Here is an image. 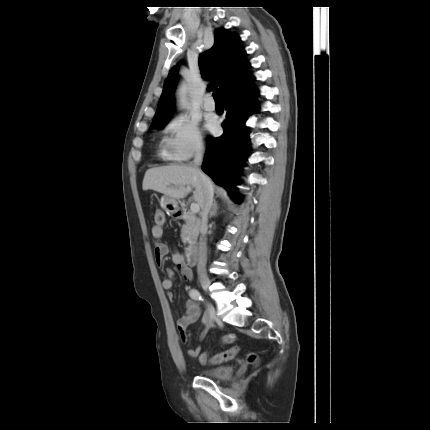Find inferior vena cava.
<instances>
[{"label": "inferior vena cava", "mask_w": 430, "mask_h": 430, "mask_svg": "<svg viewBox=\"0 0 430 430\" xmlns=\"http://www.w3.org/2000/svg\"><path fill=\"white\" fill-rule=\"evenodd\" d=\"M203 149H200L195 154L194 165L198 169V166L202 163ZM200 177L203 185V196L201 200L202 218L200 225V232L202 234L207 231L208 213L213 205L214 188L209 177L200 172ZM206 244L200 240L199 244V257H198V273L201 276H205V265H206Z\"/></svg>", "instance_id": "602c4592"}]
</instances>
